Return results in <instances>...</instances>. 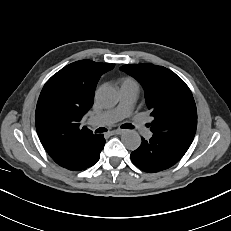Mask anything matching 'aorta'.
<instances>
[{
  "label": "aorta",
  "instance_id": "762f6f07",
  "mask_svg": "<svg viewBox=\"0 0 231 231\" xmlns=\"http://www.w3.org/2000/svg\"><path fill=\"white\" fill-rule=\"evenodd\" d=\"M97 102L103 107H113L119 100L117 90L109 85L101 86L95 94ZM122 142L129 150H136L141 144L140 135L134 130L126 131L122 137Z\"/></svg>",
  "mask_w": 231,
  "mask_h": 231
}]
</instances>
